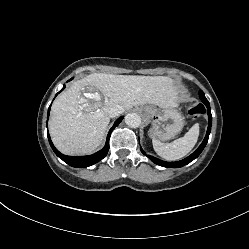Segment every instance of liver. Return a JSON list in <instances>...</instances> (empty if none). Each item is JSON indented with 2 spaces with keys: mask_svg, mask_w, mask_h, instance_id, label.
<instances>
[{
  "mask_svg": "<svg viewBox=\"0 0 249 249\" xmlns=\"http://www.w3.org/2000/svg\"><path fill=\"white\" fill-rule=\"evenodd\" d=\"M86 89L101 96L85 97ZM172 79L164 76H135L93 73L75 81L54 101L49 131L56 148L66 155L94 152L110 122L108 111L115 105L124 110L151 104L172 108L179 101Z\"/></svg>",
  "mask_w": 249,
  "mask_h": 249,
  "instance_id": "obj_1",
  "label": "liver"
}]
</instances>
